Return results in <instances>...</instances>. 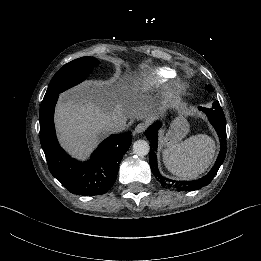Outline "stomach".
<instances>
[{"label":"stomach","mask_w":261,"mask_h":261,"mask_svg":"<svg viewBox=\"0 0 261 261\" xmlns=\"http://www.w3.org/2000/svg\"><path fill=\"white\" fill-rule=\"evenodd\" d=\"M187 132V123L183 119V117H180L173 122L170 133L167 136L163 137V143L173 145L175 141L179 140Z\"/></svg>","instance_id":"stomach-1"}]
</instances>
